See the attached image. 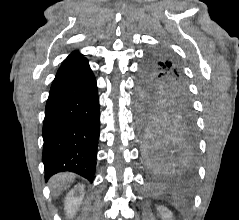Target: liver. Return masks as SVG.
<instances>
[{
  "mask_svg": "<svg viewBox=\"0 0 239 220\" xmlns=\"http://www.w3.org/2000/svg\"><path fill=\"white\" fill-rule=\"evenodd\" d=\"M74 178L75 176L71 173H60L53 176L50 180L53 196L58 197L65 189H67Z\"/></svg>",
  "mask_w": 239,
  "mask_h": 220,
  "instance_id": "6515ba94",
  "label": "liver"
}]
</instances>
